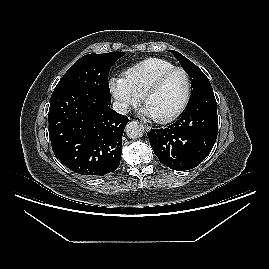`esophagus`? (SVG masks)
Instances as JSON below:
<instances>
[{
	"label": "esophagus",
	"mask_w": 269,
	"mask_h": 269,
	"mask_svg": "<svg viewBox=\"0 0 269 269\" xmlns=\"http://www.w3.org/2000/svg\"><path fill=\"white\" fill-rule=\"evenodd\" d=\"M143 126H144V129H145L146 131H150V130H151V127H150V126H148V125H146V124H143Z\"/></svg>",
	"instance_id": "34e87169"
}]
</instances>
